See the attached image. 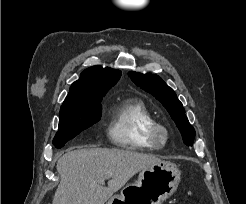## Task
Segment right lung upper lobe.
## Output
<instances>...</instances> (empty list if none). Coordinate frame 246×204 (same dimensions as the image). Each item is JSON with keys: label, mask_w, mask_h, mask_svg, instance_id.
<instances>
[{"label": "right lung upper lobe", "mask_w": 246, "mask_h": 204, "mask_svg": "<svg viewBox=\"0 0 246 204\" xmlns=\"http://www.w3.org/2000/svg\"><path fill=\"white\" fill-rule=\"evenodd\" d=\"M121 76L119 70L93 66L84 70L74 82L63 104L83 102L91 97L104 96Z\"/></svg>", "instance_id": "obj_1"}]
</instances>
